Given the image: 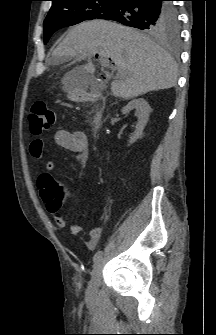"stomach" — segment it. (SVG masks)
<instances>
[{"mask_svg": "<svg viewBox=\"0 0 216 335\" xmlns=\"http://www.w3.org/2000/svg\"><path fill=\"white\" fill-rule=\"evenodd\" d=\"M67 92H68V98L73 101H78L84 96V93L76 88H71Z\"/></svg>", "mask_w": 216, "mask_h": 335, "instance_id": "0dacf381", "label": "stomach"}]
</instances>
